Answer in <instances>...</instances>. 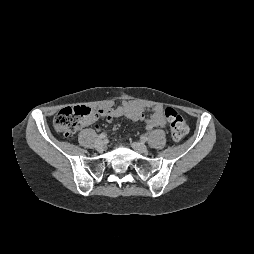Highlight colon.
I'll return each mask as SVG.
<instances>
[{
  "label": "colon",
  "mask_w": 254,
  "mask_h": 254,
  "mask_svg": "<svg viewBox=\"0 0 254 254\" xmlns=\"http://www.w3.org/2000/svg\"><path fill=\"white\" fill-rule=\"evenodd\" d=\"M164 116L170 125L171 136L175 141L183 139L189 131L184 117L173 107L166 106ZM98 118L97 111L87 106L67 107L60 110L54 117L53 125L57 132L72 137L77 130Z\"/></svg>",
  "instance_id": "5ec220e1"
}]
</instances>
